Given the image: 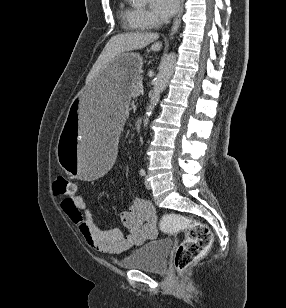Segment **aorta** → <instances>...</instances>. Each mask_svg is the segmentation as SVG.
Here are the masks:
<instances>
[{
    "instance_id": "762f6f07",
    "label": "aorta",
    "mask_w": 286,
    "mask_h": 308,
    "mask_svg": "<svg viewBox=\"0 0 286 308\" xmlns=\"http://www.w3.org/2000/svg\"><path fill=\"white\" fill-rule=\"evenodd\" d=\"M133 3L136 4H145L148 0H132ZM177 55L174 52L169 53L164 57L161 61L158 75L154 82L153 91L150 97V103L147 107L146 117H145V124L148 122V117L151 115L156 103L160 99L161 93L166 88L170 78L174 73V69L176 66Z\"/></svg>"
}]
</instances>
